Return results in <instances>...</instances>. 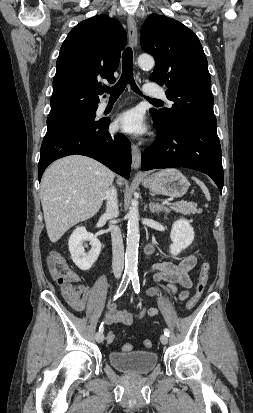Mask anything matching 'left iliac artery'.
<instances>
[{
  "label": "left iliac artery",
  "instance_id": "obj_1",
  "mask_svg": "<svg viewBox=\"0 0 253 413\" xmlns=\"http://www.w3.org/2000/svg\"><path fill=\"white\" fill-rule=\"evenodd\" d=\"M132 285H133V289H134L135 293L139 294L140 293V284H139L138 275L136 273H134L132 275ZM164 334L168 337L169 336V330L164 329Z\"/></svg>",
  "mask_w": 253,
  "mask_h": 413
}]
</instances>
